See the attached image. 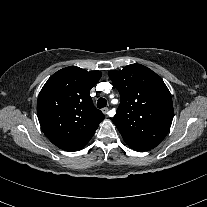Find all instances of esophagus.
Here are the masks:
<instances>
[{
	"label": "esophagus",
	"mask_w": 207,
	"mask_h": 207,
	"mask_svg": "<svg viewBox=\"0 0 207 207\" xmlns=\"http://www.w3.org/2000/svg\"><path fill=\"white\" fill-rule=\"evenodd\" d=\"M102 112L105 114V115H108L109 114V109L107 107L103 108L102 109Z\"/></svg>",
	"instance_id": "obj_1"
}]
</instances>
